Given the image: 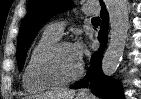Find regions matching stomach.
<instances>
[{
    "instance_id": "stomach-1",
    "label": "stomach",
    "mask_w": 141,
    "mask_h": 99,
    "mask_svg": "<svg viewBox=\"0 0 141 99\" xmlns=\"http://www.w3.org/2000/svg\"><path fill=\"white\" fill-rule=\"evenodd\" d=\"M34 99H37V98H34ZM76 99H87V98H84L82 96H78V97H76Z\"/></svg>"
}]
</instances>
